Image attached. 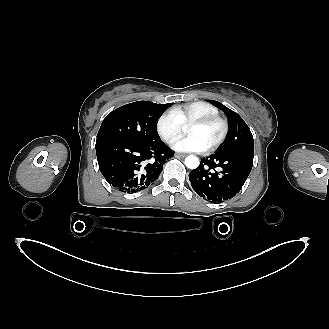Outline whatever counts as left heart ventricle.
Segmentation results:
<instances>
[{"mask_svg": "<svg viewBox=\"0 0 329 329\" xmlns=\"http://www.w3.org/2000/svg\"><path fill=\"white\" fill-rule=\"evenodd\" d=\"M189 135H196L205 145L210 147L221 134V125L219 123H210L203 126H189L187 128Z\"/></svg>", "mask_w": 329, "mask_h": 329, "instance_id": "1", "label": "left heart ventricle"}]
</instances>
